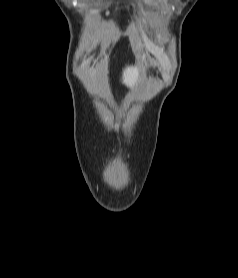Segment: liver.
I'll return each instance as SVG.
<instances>
[{
    "mask_svg": "<svg viewBox=\"0 0 238 278\" xmlns=\"http://www.w3.org/2000/svg\"><path fill=\"white\" fill-rule=\"evenodd\" d=\"M138 69L136 67H127L123 72V83L133 87L138 80Z\"/></svg>",
    "mask_w": 238,
    "mask_h": 278,
    "instance_id": "obj_1",
    "label": "liver"
}]
</instances>
